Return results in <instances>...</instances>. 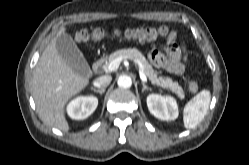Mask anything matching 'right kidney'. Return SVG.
<instances>
[{
	"label": "right kidney",
	"instance_id": "right-kidney-1",
	"mask_svg": "<svg viewBox=\"0 0 249 165\" xmlns=\"http://www.w3.org/2000/svg\"><path fill=\"white\" fill-rule=\"evenodd\" d=\"M98 105V99L94 96L78 97L67 106L68 115L75 120H83L90 116Z\"/></svg>",
	"mask_w": 249,
	"mask_h": 165
}]
</instances>
